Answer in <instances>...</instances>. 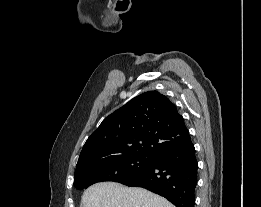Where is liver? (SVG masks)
<instances>
[{
    "label": "liver",
    "mask_w": 261,
    "mask_h": 207,
    "mask_svg": "<svg viewBox=\"0 0 261 207\" xmlns=\"http://www.w3.org/2000/svg\"><path fill=\"white\" fill-rule=\"evenodd\" d=\"M83 207H175L165 198L146 189L116 182H99L82 195Z\"/></svg>",
    "instance_id": "1"
}]
</instances>
